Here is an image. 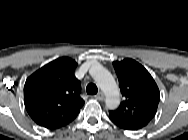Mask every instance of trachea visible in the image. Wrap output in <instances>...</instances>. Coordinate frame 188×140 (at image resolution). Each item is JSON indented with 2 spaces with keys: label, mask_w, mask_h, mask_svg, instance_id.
I'll use <instances>...</instances> for the list:
<instances>
[{
  "label": "trachea",
  "mask_w": 188,
  "mask_h": 140,
  "mask_svg": "<svg viewBox=\"0 0 188 140\" xmlns=\"http://www.w3.org/2000/svg\"><path fill=\"white\" fill-rule=\"evenodd\" d=\"M86 91L88 95H95L98 92L97 86L95 84H88L86 87Z\"/></svg>",
  "instance_id": "obj_1"
}]
</instances>
